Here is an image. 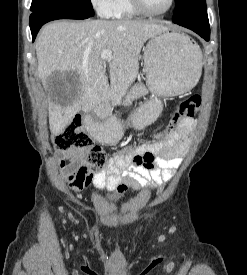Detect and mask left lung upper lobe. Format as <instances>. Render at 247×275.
<instances>
[{"instance_id":"1","label":"left lung upper lobe","mask_w":247,"mask_h":275,"mask_svg":"<svg viewBox=\"0 0 247 275\" xmlns=\"http://www.w3.org/2000/svg\"><path fill=\"white\" fill-rule=\"evenodd\" d=\"M173 22L208 19L205 0H175Z\"/></svg>"}]
</instances>
